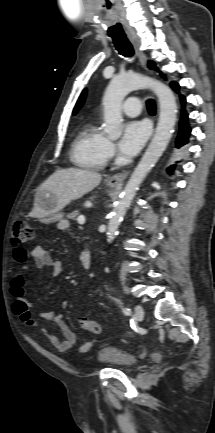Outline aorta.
Here are the masks:
<instances>
[{
	"label": "aorta",
	"instance_id": "1",
	"mask_svg": "<svg viewBox=\"0 0 215 433\" xmlns=\"http://www.w3.org/2000/svg\"><path fill=\"white\" fill-rule=\"evenodd\" d=\"M145 87H150L158 98L160 105L159 121L150 145L132 173L110 215L107 230L109 241H113L116 237L119 225L135 196L136 190L167 147L177 120L176 99L167 85L140 74L118 75L111 80L103 97L104 131L108 136L112 139L121 136V106L125 96L133 90Z\"/></svg>",
	"mask_w": 215,
	"mask_h": 433
}]
</instances>
